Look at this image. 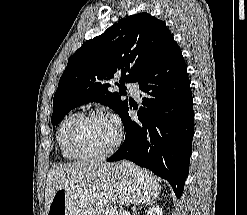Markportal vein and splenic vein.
Segmentation results:
<instances>
[{"mask_svg":"<svg viewBox=\"0 0 247 215\" xmlns=\"http://www.w3.org/2000/svg\"><path fill=\"white\" fill-rule=\"evenodd\" d=\"M123 215H130V212H128V211H123Z\"/></svg>","mask_w":247,"mask_h":215,"instance_id":"1","label":"portal vein and splenic vein"}]
</instances>
